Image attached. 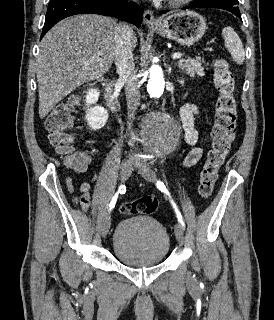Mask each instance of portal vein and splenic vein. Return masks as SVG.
<instances>
[{
  "label": "portal vein and splenic vein",
  "mask_w": 274,
  "mask_h": 320,
  "mask_svg": "<svg viewBox=\"0 0 274 320\" xmlns=\"http://www.w3.org/2000/svg\"><path fill=\"white\" fill-rule=\"evenodd\" d=\"M182 54L181 52H176V54H173L172 58L173 60H177V58H181Z\"/></svg>",
  "instance_id": "18ae733b"
}]
</instances>
